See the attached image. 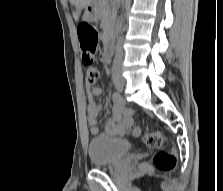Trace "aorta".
Instances as JSON below:
<instances>
[{"mask_svg": "<svg viewBox=\"0 0 223 191\" xmlns=\"http://www.w3.org/2000/svg\"><path fill=\"white\" fill-rule=\"evenodd\" d=\"M121 27H122V17L120 16L117 19V22H116V37H115V40H118V33L121 30Z\"/></svg>", "mask_w": 223, "mask_h": 191, "instance_id": "aorta-1", "label": "aorta"}]
</instances>
